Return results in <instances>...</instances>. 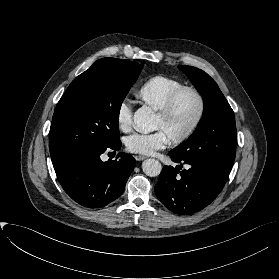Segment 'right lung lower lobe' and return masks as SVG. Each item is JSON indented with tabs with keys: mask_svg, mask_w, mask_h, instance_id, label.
<instances>
[{
	"mask_svg": "<svg viewBox=\"0 0 279 279\" xmlns=\"http://www.w3.org/2000/svg\"><path fill=\"white\" fill-rule=\"evenodd\" d=\"M120 140L91 152L69 154L52 160L58 180L65 192L87 208H101L116 200L124 191L129 175L136 165L126 153L119 160L101 161L106 150H119Z\"/></svg>",
	"mask_w": 279,
	"mask_h": 279,
	"instance_id": "98d812e1",
	"label": "right lung lower lobe"
}]
</instances>
